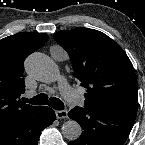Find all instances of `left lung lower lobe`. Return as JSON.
Wrapping results in <instances>:
<instances>
[{
    "instance_id": "obj_1",
    "label": "left lung lower lobe",
    "mask_w": 145,
    "mask_h": 145,
    "mask_svg": "<svg viewBox=\"0 0 145 145\" xmlns=\"http://www.w3.org/2000/svg\"><path fill=\"white\" fill-rule=\"evenodd\" d=\"M68 116L84 130L69 145H123L134 125L136 112L75 107Z\"/></svg>"
}]
</instances>
